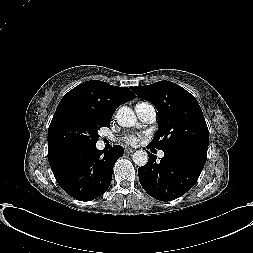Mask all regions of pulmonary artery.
Wrapping results in <instances>:
<instances>
[{
	"label": "pulmonary artery",
	"mask_w": 253,
	"mask_h": 253,
	"mask_svg": "<svg viewBox=\"0 0 253 253\" xmlns=\"http://www.w3.org/2000/svg\"><path fill=\"white\" fill-rule=\"evenodd\" d=\"M135 111L138 118L147 124L153 123L157 117V111L153 104L148 102H139L135 106ZM164 156L163 152L159 153V157L162 158Z\"/></svg>",
	"instance_id": "e3ab8cb5"
}]
</instances>
